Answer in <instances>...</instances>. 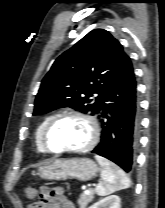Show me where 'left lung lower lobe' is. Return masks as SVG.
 <instances>
[{"instance_id":"1","label":"left lung lower lobe","mask_w":165,"mask_h":208,"mask_svg":"<svg viewBox=\"0 0 165 208\" xmlns=\"http://www.w3.org/2000/svg\"><path fill=\"white\" fill-rule=\"evenodd\" d=\"M97 114L101 120V141L92 153L131 172L138 145L140 113L137 85L129 57L104 91Z\"/></svg>"}]
</instances>
